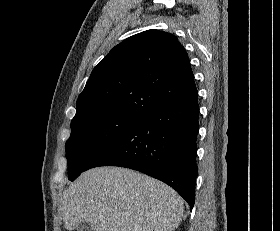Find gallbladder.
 <instances>
[{
  "instance_id": "bac80fb5",
  "label": "gallbladder",
  "mask_w": 280,
  "mask_h": 231,
  "mask_svg": "<svg viewBox=\"0 0 280 231\" xmlns=\"http://www.w3.org/2000/svg\"><path fill=\"white\" fill-rule=\"evenodd\" d=\"M76 231H96L95 225L91 223H79L76 227Z\"/></svg>"
}]
</instances>
